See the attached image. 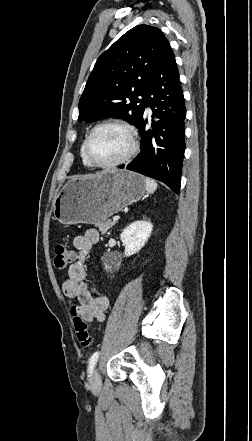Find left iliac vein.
<instances>
[{"mask_svg":"<svg viewBox=\"0 0 252 441\" xmlns=\"http://www.w3.org/2000/svg\"><path fill=\"white\" fill-rule=\"evenodd\" d=\"M91 385L92 387H98L101 385V378L98 369H95L92 374Z\"/></svg>","mask_w":252,"mask_h":441,"instance_id":"4c4485c4","label":"left iliac vein"}]
</instances>
